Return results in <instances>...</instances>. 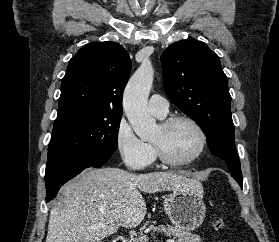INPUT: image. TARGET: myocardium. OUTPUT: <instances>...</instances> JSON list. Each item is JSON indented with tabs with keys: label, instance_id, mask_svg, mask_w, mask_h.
<instances>
[{
	"label": "myocardium",
	"instance_id": "obj_1",
	"mask_svg": "<svg viewBox=\"0 0 279 242\" xmlns=\"http://www.w3.org/2000/svg\"><path fill=\"white\" fill-rule=\"evenodd\" d=\"M179 121H184L189 124H191L195 130L197 131L199 135V146L196 152L189 158L185 160H176L168 156L166 151L164 150L162 144L157 141H152L153 148L155 150L156 155L160 159V161L168 166L172 167H183L192 164L195 162L205 151L206 146H207V134L202 127V125L193 117L188 116V115H172L170 117H167L163 119L160 124H159V129L162 132H166L174 123L179 122Z\"/></svg>",
	"mask_w": 279,
	"mask_h": 242
}]
</instances>
